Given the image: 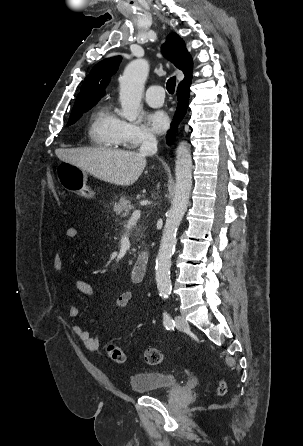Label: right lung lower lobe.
<instances>
[{
	"label": "right lung lower lobe",
	"mask_w": 303,
	"mask_h": 446,
	"mask_svg": "<svg viewBox=\"0 0 303 446\" xmlns=\"http://www.w3.org/2000/svg\"><path fill=\"white\" fill-rule=\"evenodd\" d=\"M190 83H191V81L184 82L182 84H179V86L177 88L178 106H177L176 115L174 117V121L171 125V130L168 132V135H167V143L168 144H171L173 142V139L175 137V132L177 130V126L187 112L189 93H190V90H189Z\"/></svg>",
	"instance_id": "98d812e1"
}]
</instances>
